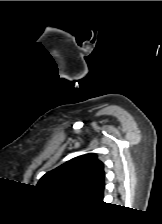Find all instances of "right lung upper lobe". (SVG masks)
<instances>
[{"instance_id":"cb5924a9","label":"right lung upper lobe","mask_w":162,"mask_h":224,"mask_svg":"<svg viewBox=\"0 0 162 224\" xmlns=\"http://www.w3.org/2000/svg\"><path fill=\"white\" fill-rule=\"evenodd\" d=\"M104 178L103 163L95 154H86L47 172L37 186L50 192L80 197L87 202H102Z\"/></svg>"}]
</instances>
